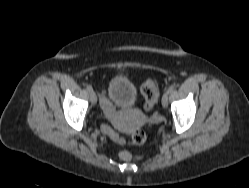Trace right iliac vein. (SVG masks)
Here are the masks:
<instances>
[{"instance_id": "right-iliac-vein-1", "label": "right iliac vein", "mask_w": 249, "mask_h": 188, "mask_svg": "<svg viewBox=\"0 0 249 188\" xmlns=\"http://www.w3.org/2000/svg\"><path fill=\"white\" fill-rule=\"evenodd\" d=\"M90 100H91L92 105L96 104V102H97V96H96V93L94 91L90 92Z\"/></svg>"}]
</instances>
